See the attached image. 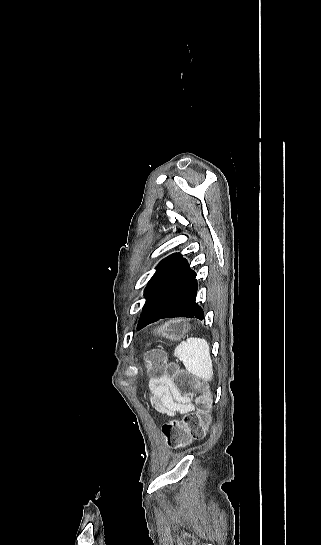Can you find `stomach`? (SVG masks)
<instances>
[{
    "instance_id": "1",
    "label": "stomach",
    "mask_w": 321,
    "mask_h": 545,
    "mask_svg": "<svg viewBox=\"0 0 321 545\" xmlns=\"http://www.w3.org/2000/svg\"><path fill=\"white\" fill-rule=\"evenodd\" d=\"M189 329L190 327L186 321H167V323L153 329L152 335L154 337H164L169 341H180Z\"/></svg>"
}]
</instances>
